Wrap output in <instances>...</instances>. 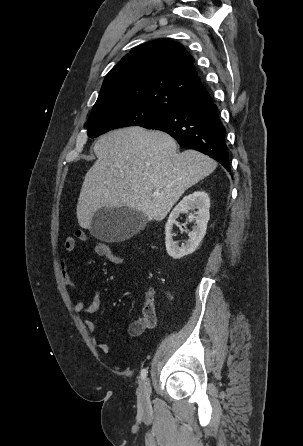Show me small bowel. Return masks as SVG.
Returning a JSON list of instances; mask_svg holds the SVG:
<instances>
[{"instance_id":"small-bowel-1","label":"small bowel","mask_w":303,"mask_h":446,"mask_svg":"<svg viewBox=\"0 0 303 446\" xmlns=\"http://www.w3.org/2000/svg\"><path fill=\"white\" fill-rule=\"evenodd\" d=\"M76 239L82 242L86 243L88 242V236L86 232L84 230H77L75 233V237H67L64 240L63 248L67 254H70L75 250ZM99 245H100L99 242L91 244V247L96 254L99 250ZM61 268H62V277L65 285L71 291H74L76 289V285L69 275L66 258L61 261ZM100 305H101V295L100 291L97 289L94 292L91 303L89 305H86L85 300L81 298L74 302L73 309L79 315H87L97 312L98 309L100 308ZM156 322H157V317L155 312L153 293L150 291L147 294L146 301L142 308L141 316L133 320L129 324L128 333L131 336H139L145 330L153 328L156 325ZM86 327L91 333L95 332L97 328L96 323L92 320L86 321ZM97 346L103 353L110 352V345L107 342H101L97 344Z\"/></svg>"}]
</instances>
